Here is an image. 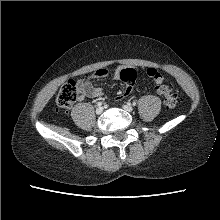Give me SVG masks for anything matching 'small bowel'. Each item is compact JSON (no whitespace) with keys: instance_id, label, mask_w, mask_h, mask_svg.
Here are the masks:
<instances>
[{"instance_id":"c3829d8e","label":"small bowel","mask_w":220,"mask_h":220,"mask_svg":"<svg viewBox=\"0 0 220 220\" xmlns=\"http://www.w3.org/2000/svg\"><path fill=\"white\" fill-rule=\"evenodd\" d=\"M120 72H121V69L117 68L113 73V78L119 79ZM107 73L108 72L106 69L99 68L89 78L79 80L77 84H78L79 91L81 93V97L95 98V97H99L100 95H102V92H103L102 89L95 87L93 84V81L95 79H100V78L105 77L107 75ZM155 84L159 85L160 83L155 81ZM128 95L129 94L124 95L122 93L120 96V99L125 98Z\"/></svg>"}]
</instances>
